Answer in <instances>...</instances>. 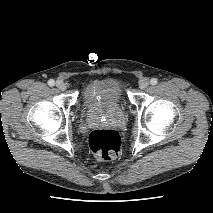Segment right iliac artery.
I'll use <instances>...</instances> for the list:
<instances>
[{
  "label": "right iliac artery",
  "mask_w": 213,
  "mask_h": 213,
  "mask_svg": "<svg viewBox=\"0 0 213 213\" xmlns=\"http://www.w3.org/2000/svg\"><path fill=\"white\" fill-rule=\"evenodd\" d=\"M48 85L51 86V87L54 86L55 85V81L53 79H50L48 81Z\"/></svg>",
  "instance_id": "obj_1"
}]
</instances>
